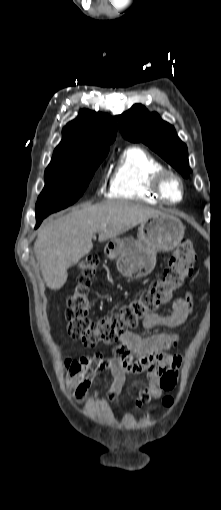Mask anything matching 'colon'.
Masks as SVG:
<instances>
[{"label": "colon", "instance_id": "1", "mask_svg": "<svg viewBox=\"0 0 221 510\" xmlns=\"http://www.w3.org/2000/svg\"><path fill=\"white\" fill-rule=\"evenodd\" d=\"M195 261L193 243L189 240L182 241L161 277L154 279L145 290L116 312L92 320L89 317L90 284L97 272L99 258L96 255L86 257L79 264L77 283L67 301L65 315L69 322V334L89 347L99 343L117 342L125 332L134 329L146 316L171 301L174 292L181 289L191 275ZM162 404L170 406L172 398L165 396Z\"/></svg>", "mask_w": 221, "mask_h": 510}]
</instances>
